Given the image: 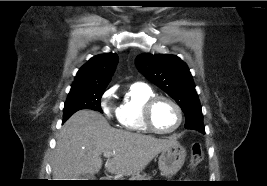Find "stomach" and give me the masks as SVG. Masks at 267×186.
Segmentation results:
<instances>
[{
    "label": "stomach",
    "mask_w": 267,
    "mask_h": 186,
    "mask_svg": "<svg viewBox=\"0 0 267 186\" xmlns=\"http://www.w3.org/2000/svg\"><path fill=\"white\" fill-rule=\"evenodd\" d=\"M186 150L178 142L161 151L158 166L161 174L167 178L173 177L183 166Z\"/></svg>",
    "instance_id": "0dacf381"
}]
</instances>
